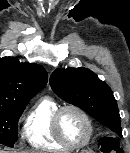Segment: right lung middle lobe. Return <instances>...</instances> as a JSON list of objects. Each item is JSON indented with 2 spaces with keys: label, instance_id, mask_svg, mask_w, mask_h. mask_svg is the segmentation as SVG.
Instances as JSON below:
<instances>
[{
  "label": "right lung middle lobe",
  "instance_id": "obj_1",
  "mask_svg": "<svg viewBox=\"0 0 130 153\" xmlns=\"http://www.w3.org/2000/svg\"><path fill=\"white\" fill-rule=\"evenodd\" d=\"M27 103L11 106L0 105V144L13 147L17 141V124Z\"/></svg>",
  "mask_w": 130,
  "mask_h": 153
}]
</instances>
